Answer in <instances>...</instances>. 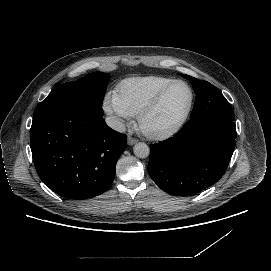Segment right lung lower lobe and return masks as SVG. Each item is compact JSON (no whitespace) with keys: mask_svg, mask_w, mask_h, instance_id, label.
Listing matches in <instances>:
<instances>
[{"mask_svg":"<svg viewBox=\"0 0 271 271\" xmlns=\"http://www.w3.org/2000/svg\"><path fill=\"white\" fill-rule=\"evenodd\" d=\"M102 116L94 110H57L33 119L34 165L41 180L57 194L87 199L111 186L126 135L108 127Z\"/></svg>","mask_w":271,"mask_h":271,"instance_id":"98d812e1","label":"right lung lower lobe"}]
</instances>
